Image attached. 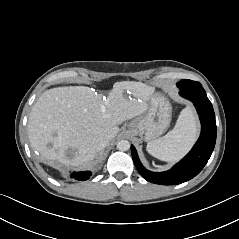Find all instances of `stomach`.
<instances>
[{
  "label": "stomach",
  "mask_w": 239,
  "mask_h": 239,
  "mask_svg": "<svg viewBox=\"0 0 239 239\" xmlns=\"http://www.w3.org/2000/svg\"><path fill=\"white\" fill-rule=\"evenodd\" d=\"M171 121V105L168 99L154 93L148 102V109L128 125V131L147 142L161 136Z\"/></svg>",
  "instance_id": "stomach-1"
}]
</instances>
